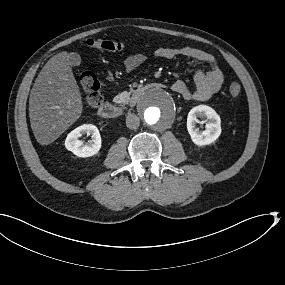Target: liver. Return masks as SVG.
I'll return each mask as SVG.
<instances>
[{"instance_id": "1", "label": "liver", "mask_w": 285, "mask_h": 285, "mask_svg": "<svg viewBox=\"0 0 285 285\" xmlns=\"http://www.w3.org/2000/svg\"><path fill=\"white\" fill-rule=\"evenodd\" d=\"M80 87L69 54L53 55L37 76L29 97L30 124L36 141L47 146L57 140L82 115Z\"/></svg>"}]
</instances>
